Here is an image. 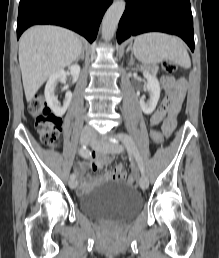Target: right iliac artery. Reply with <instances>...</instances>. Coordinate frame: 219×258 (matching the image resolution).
Here are the masks:
<instances>
[{
  "mask_svg": "<svg viewBox=\"0 0 219 258\" xmlns=\"http://www.w3.org/2000/svg\"><path fill=\"white\" fill-rule=\"evenodd\" d=\"M79 154H80V156L83 157V158H89V156H90V151H89L86 147L83 146L82 148L79 149ZM75 177H76V174H75V173H72V174L70 175V179H75Z\"/></svg>",
  "mask_w": 219,
  "mask_h": 258,
  "instance_id": "right-iliac-artery-1",
  "label": "right iliac artery"
}]
</instances>
